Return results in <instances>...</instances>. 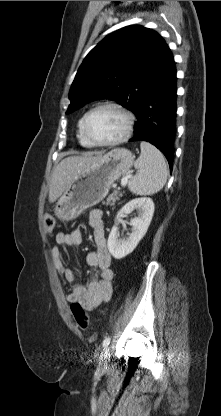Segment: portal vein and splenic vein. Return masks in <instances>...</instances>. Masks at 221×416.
I'll use <instances>...</instances> for the list:
<instances>
[{"instance_id":"obj_1","label":"portal vein and splenic vein","mask_w":221,"mask_h":416,"mask_svg":"<svg viewBox=\"0 0 221 416\" xmlns=\"http://www.w3.org/2000/svg\"><path fill=\"white\" fill-rule=\"evenodd\" d=\"M127 181H128V177H123V178L121 179V184H122V186H125V185L127 184Z\"/></svg>"}]
</instances>
